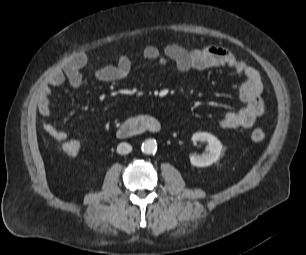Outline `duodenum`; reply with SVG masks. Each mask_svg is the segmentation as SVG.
I'll return each mask as SVG.
<instances>
[{"label": "duodenum", "instance_id": "410a0bca", "mask_svg": "<svg viewBox=\"0 0 306 255\" xmlns=\"http://www.w3.org/2000/svg\"><path fill=\"white\" fill-rule=\"evenodd\" d=\"M161 130L160 122L149 116L133 118L122 124L116 134L120 139L134 137L142 133H158Z\"/></svg>", "mask_w": 306, "mask_h": 255}]
</instances>
